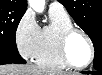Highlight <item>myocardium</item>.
Returning <instances> with one entry per match:
<instances>
[{
  "instance_id": "obj_1",
  "label": "myocardium",
  "mask_w": 102,
  "mask_h": 75,
  "mask_svg": "<svg viewBox=\"0 0 102 75\" xmlns=\"http://www.w3.org/2000/svg\"><path fill=\"white\" fill-rule=\"evenodd\" d=\"M76 33L81 34L86 39V41L89 45V49H90L88 62L85 63L84 65H80V66L76 65L71 60L69 53H68V42H69L70 38ZM57 46H58V52H59L60 58L67 66L84 68L91 62V60L93 59V56H94V45H93V42H92L90 36L83 29L76 27L74 25L66 28L65 30H63L61 32V34L59 35V38H58Z\"/></svg>"
}]
</instances>
